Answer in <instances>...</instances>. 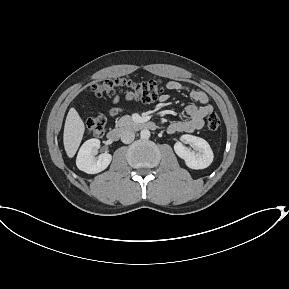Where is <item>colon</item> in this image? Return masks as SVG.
Returning a JSON list of instances; mask_svg holds the SVG:
<instances>
[{
	"label": "colon",
	"mask_w": 289,
	"mask_h": 289,
	"mask_svg": "<svg viewBox=\"0 0 289 289\" xmlns=\"http://www.w3.org/2000/svg\"><path fill=\"white\" fill-rule=\"evenodd\" d=\"M95 96L115 95L124 92L132 95L144 103H150L157 99L162 93L163 87L160 80H149L145 82H134L126 78L107 79L102 83L91 86ZM221 125V119L216 113H210L207 117V127L211 131L217 130ZM106 119L103 115H96L87 120V132L95 137H101L105 132Z\"/></svg>",
	"instance_id": "5ec220e1"
}]
</instances>
